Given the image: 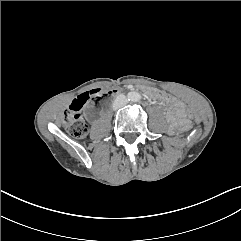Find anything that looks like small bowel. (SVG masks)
I'll use <instances>...</instances> for the list:
<instances>
[{"label":"small bowel","instance_id":"small-bowel-1","mask_svg":"<svg viewBox=\"0 0 241 241\" xmlns=\"http://www.w3.org/2000/svg\"><path fill=\"white\" fill-rule=\"evenodd\" d=\"M157 95L160 96L165 102L170 104L172 107V110L167 114V119L172 129L177 126H183L188 124L185 113V104L182 101L173 97H166L161 94Z\"/></svg>","mask_w":241,"mask_h":241}]
</instances>
